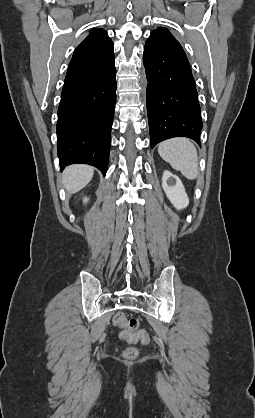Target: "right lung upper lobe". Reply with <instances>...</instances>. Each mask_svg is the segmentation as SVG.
<instances>
[{"label":"right lung upper lobe","instance_id":"cb5924a9","mask_svg":"<svg viewBox=\"0 0 255 418\" xmlns=\"http://www.w3.org/2000/svg\"><path fill=\"white\" fill-rule=\"evenodd\" d=\"M113 56V43L107 32L94 29L75 49L68 69L95 64Z\"/></svg>","mask_w":255,"mask_h":418}]
</instances>
